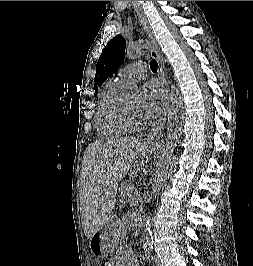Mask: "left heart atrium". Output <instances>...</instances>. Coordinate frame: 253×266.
<instances>
[{
	"mask_svg": "<svg viewBox=\"0 0 253 266\" xmlns=\"http://www.w3.org/2000/svg\"><path fill=\"white\" fill-rule=\"evenodd\" d=\"M166 95L163 88L154 82L143 86L139 97L140 113L144 117L151 118L160 113L165 105Z\"/></svg>",
	"mask_w": 253,
	"mask_h": 266,
	"instance_id": "obj_1",
	"label": "left heart atrium"
}]
</instances>
